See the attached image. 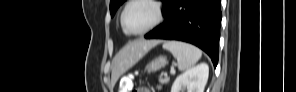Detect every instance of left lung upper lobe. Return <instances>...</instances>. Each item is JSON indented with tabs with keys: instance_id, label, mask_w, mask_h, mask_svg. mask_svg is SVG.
<instances>
[{
	"instance_id": "left-lung-upper-lobe-1",
	"label": "left lung upper lobe",
	"mask_w": 296,
	"mask_h": 92,
	"mask_svg": "<svg viewBox=\"0 0 296 92\" xmlns=\"http://www.w3.org/2000/svg\"><path fill=\"white\" fill-rule=\"evenodd\" d=\"M125 0H111L110 1V13L113 17L119 6L124 2ZM164 3V7L162 12L164 11L165 7L167 6L169 0H161Z\"/></svg>"
}]
</instances>
